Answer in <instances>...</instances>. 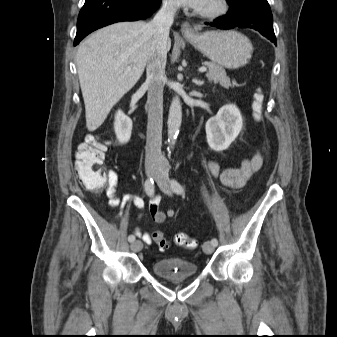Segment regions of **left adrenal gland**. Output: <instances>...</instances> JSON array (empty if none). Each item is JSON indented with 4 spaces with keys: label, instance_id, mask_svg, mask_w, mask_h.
<instances>
[{
    "label": "left adrenal gland",
    "instance_id": "obj_1",
    "mask_svg": "<svg viewBox=\"0 0 337 337\" xmlns=\"http://www.w3.org/2000/svg\"><path fill=\"white\" fill-rule=\"evenodd\" d=\"M193 82L198 86H202L204 84L203 81H199V80H196V79H194Z\"/></svg>",
    "mask_w": 337,
    "mask_h": 337
}]
</instances>
